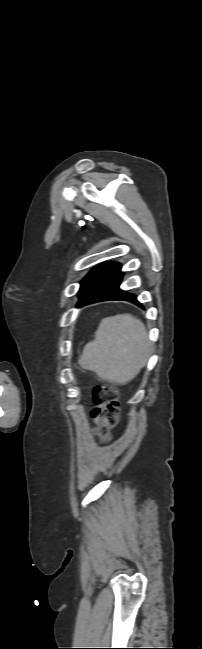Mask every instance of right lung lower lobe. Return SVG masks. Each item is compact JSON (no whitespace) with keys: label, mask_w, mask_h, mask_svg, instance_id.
<instances>
[{"label":"right lung lower lobe","mask_w":202,"mask_h":649,"mask_svg":"<svg viewBox=\"0 0 202 649\" xmlns=\"http://www.w3.org/2000/svg\"><path fill=\"white\" fill-rule=\"evenodd\" d=\"M120 269V264L110 263L88 284L80 299V304L86 305L98 301L124 300L143 308L137 301L136 296L119 288L123 276V272Z\"/></svg>","instance_id":"right-lung-lower-lobe-1"}]
</instances>
